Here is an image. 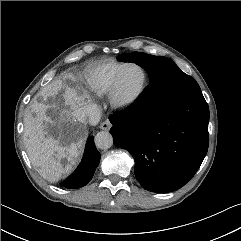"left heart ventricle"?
<instances>
[{"label": "left heart ventricle", "mask_w": 241, "mask_h": 241, "mask_svg": "<svg viewBox=\"0 0 241 241\" xmlns=\"http://www.w3.org/2000/svg\"><path fill=\"white\" fill-rule=\"evenodd\" d=\"M143 81V73L137 67H130L121 75L118 83L122 95H129L135 92Z\"/></svg>", "instance_id": "b2bd125f"}]
</instances>
